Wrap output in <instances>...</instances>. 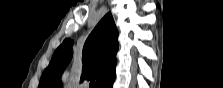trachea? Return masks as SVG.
I'll use <instances>...</instances> for the list:
<instances>
[{
  "label": "trachea",
  "instance_id": "trachea-1",
  "mask_svg": "<svg viewBox=\"0 0 223 88\" xmlns=\"http://www.w3.org/2000/svg\"><path fill=\"white\" fill-rule=\"evenodd\" d=\"M94 86H95V81H91L90 82V88H94Z\"/></svg>",
  "mask_w": 223,
  "mask_h": 88
}]
</instances>
